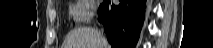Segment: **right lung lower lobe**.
Here are the masks:
<instances>
[{
	"instance_id": "obj_1",
	"label": "right lung lower lobe",
	"mask_w": 213,
	"mask_h": 48,
	"mask_svg": "<svg viewBox=\"0 0 213 48\" xmlns=\"http://www.w3.org/2000/svg\"><path fill=\"white\" fill-rule=\"evenodd\" d=\"M146 0H120L118 6L108 7L104 0L98 19L104 25L112 48H134L144 20Z\"/></svg>"
}]
</instances>
